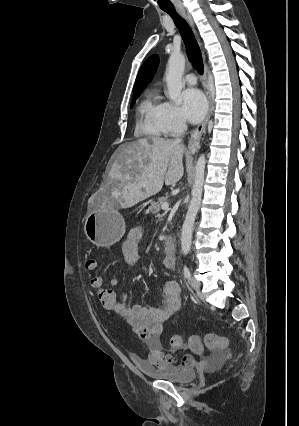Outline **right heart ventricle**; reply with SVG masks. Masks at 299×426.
<instances>
[{
  "instance_id": "e07e8e85",
  "label": "right heart ventricle",
  "mask_w": 299,
  "mask_h": 426,
  "mask_svg": "<svg viewBox=\"0 0 299 426\" xmlns=\"http://www.w3.org/2000/svg\"><path fill=\"white\" fill-rule=\"evenodd\" d=\"M136 131L140 135L160 137L165 131L162 123V103L154 94H148L138 108Z\"/></svg>"
}]
</instances>
